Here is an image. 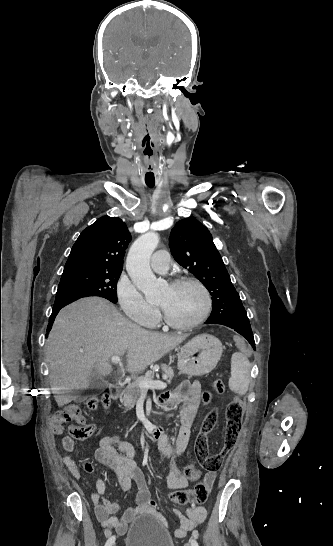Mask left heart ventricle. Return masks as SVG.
I'll return each mask as SVG.
<instances>
[{"instance_id":"left-heart-ventricle-1","label":"left heart ventricle","mask_w":333,"mask_h":546,"mask_svg":"<svg viewBox=\"0 0 333 546\" xmlns=\"http://www.w3.org/2000/svg\"><path fill=\"white\" fill-rule=\"evenodd\" d=\"M158 305L174 321L188 323L200 315L204 306V297L201 291L191 284L176 288L168 286L161 295Z\"/></svg>"}]
</instances>
